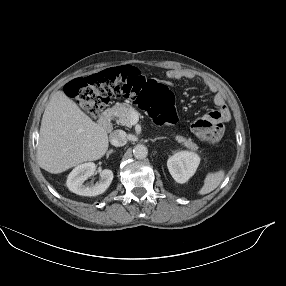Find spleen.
<instances>
[{"label":"spleen","instance_id":"1","mask_svg":"<svg viewBox=\"0 0 286 286\" xmlns=\"http://www.w3.org/2000/svg\"><path fill=\"white\" fill-rule=\"evenodd\" d=\"M225 173L223 170H220L215 173H208L204 179V185L199 190L200 195H205L210 192H212L214 189H216L221 181L224 179Z\"/></svg>","mask_w":286,"mask_h":286}]
</instances>
